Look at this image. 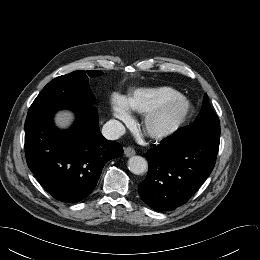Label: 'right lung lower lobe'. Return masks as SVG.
I'll return each mask as SVG.
<instances>
[{
  "mask_svg": "<svg viewBox=\"0 0 260 260\" xmlns=\"http://www.w3.org/2000/svg\"><path fill=\"white\" fill-rule=\"evenodd\" d=\"M76 112L67 131L54 127L59 109ZM123 153L122 146L105 139L99 131L92 104L33 103L25 121V154L29 169L55 199L77 203L93 191L104 165Z\"/></svg>",
  "mask_w": 260,
  "mask_h": 260,
  "instance_id": "right-lung-lower-lobe-1",
  "label": "right lung lower lobe"
}]
</instances>
